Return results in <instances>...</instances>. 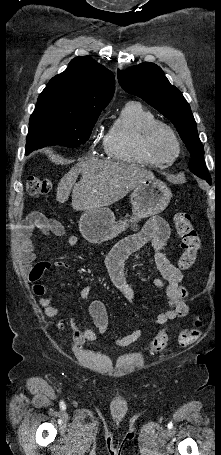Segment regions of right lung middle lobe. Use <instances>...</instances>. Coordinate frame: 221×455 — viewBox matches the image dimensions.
Masks as SVG:
<instances>
[{
    "instance_id": "dd1d6c3e",
    "label": "right lung middle lobe",
    "mask_w": 221,
    "mask_h": 455,
    "mask_svg": "<svg viewBox=\"0 0 221 455\" xmlns=\"http://www.w3.org/2000/svg\"><path fill=\"white\" fill-rule=\"evenodd\" d=\"M100 113L68 114L46 108H35L29 121L26 154L53 144L70 148L84 144Z\"/></svg>"
}]
</instances>
